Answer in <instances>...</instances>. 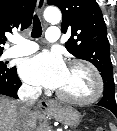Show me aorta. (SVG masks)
Here are the masks:
<instances>
[{"mask_svg": "<svg viewBox=\"0 0 117 131\" xmlns=\"http://www.w3.org/2000/svg\"><path fill=\"white\" fill-rule=\"evenodd\" d=\"M44 19L49 23H58L61 20V12L56 7H48L44 11Z\"/></svg>", "mask_w": 117, "mask_h": 131, "instance_id": "obj_1", "label": "aorta"}]
</instances>
